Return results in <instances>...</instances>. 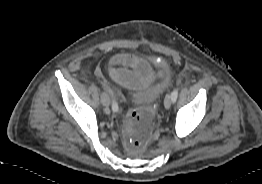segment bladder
<instances>
[{
  "mask_svg": "<svg viewBox=\"0 0 262 184\" xmlns=\"http://www.w3.org/2000/svg\"><path fill=\"white\" fill-rule=\"evenodd\" d=\"M164 84L155 83L145 88L144 90L133 89L132 99L134 102L139 104H147L159 97L162 93Z\"/></svg>",
  "mask_w": 262,
  "mask_h": 184,
  "instance_id": "31cf9c89",
  "label": "bladder"
}]
</instances>
